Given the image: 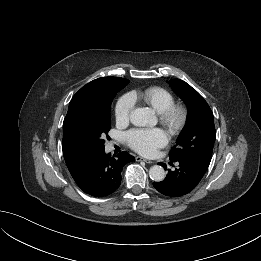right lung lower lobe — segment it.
I'll list each match as a JSON object with an SVG mask.
<instances>
[{
	"label": "right lung lower lobe",
	"instance_id": "obj_1",
	"mask_svg": "<svg viewBox=\"0 0 261 261\" xmlns=\"http://www.w3.org/2000/svg\"><path fill=\"white\" fill-rule=\"evenodd\" d=\"M135 161L128 152L110 157L104 149L67 165L74 181L85 193L94 197L112 194L121 183L123 167Z\"/></svg>",
	"mask_w": 261,
	"mask_h": 261
}]
</instances>
